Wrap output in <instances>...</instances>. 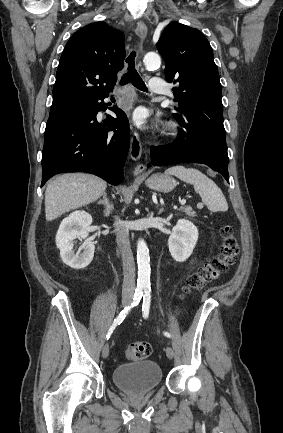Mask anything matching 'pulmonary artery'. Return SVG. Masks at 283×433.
Returning a JSON list of instances; mask_svg holds the SVG:
<instances>
[{"instance_id": "1", "label": "pulmonary artery", "mask_w": 283, "mask_h": 433, "mask_svg": "<svg viewBox=\"0 0 283 433\" xmlns=\"http://www.w3.org/2000/svg\"><path fill=\"white\" fill-rule=\"evenodd\" d=\"M149 91L150 92H163L168 93L169 91H164V80L163 78H151L150 84H149Z\"/></svg>"}]
</instances>
